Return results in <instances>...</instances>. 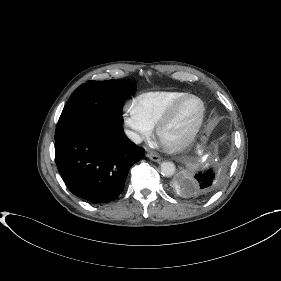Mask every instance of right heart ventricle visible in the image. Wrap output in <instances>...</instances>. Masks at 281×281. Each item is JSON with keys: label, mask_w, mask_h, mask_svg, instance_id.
I'll return each instance as SVG.
<instances>
[{"label": "right heart ventricle", "mask_w": 281, "mask_h": 281, "mask_svg": "<svg viewBox=\"0 0 281 281\" xmlns=\"http://www.w3.org/2000/svg\"><path fill=\"white\" fill-rule=\"evenodd\" d=\"M187 94L182 91H151L137 96L135 103L144 120L154 128L167 110Z\"/></svg>", "instance_id": "right-heart-ventricle-1"}]
</instances>
